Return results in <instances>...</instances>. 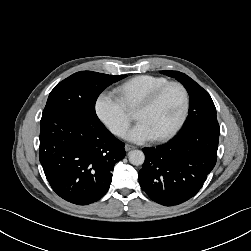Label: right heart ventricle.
Returning a JSON list of instances; mask_svg holds the SVG:
<instances>
[{
  "instance_id": "right-heart-ventricle-1",
  "label": "right heart ventricle",
  "mask_w": 251,
  "mask_h": 251,
  "mask_svg": "<svg viewBox=\"0 0 251 251\" xmlns=\"http://www.w3.org/2000/svg\"><path fill=\"white\" fill-rule=\"evenodd\" d=\"M169 82L165 77L153 75L135 76L118 86L117 92L129 110L137 109L138 105L151 93Z\"/></svg>"
}]
</instances>
